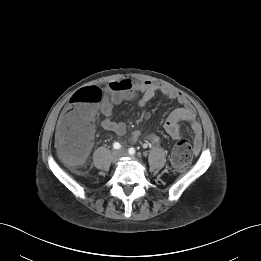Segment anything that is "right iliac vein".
I'll use <instances>...</instances> for the list:
<instances>
[{"instance_id": "obj_1", "label": "right iliac vein", "mask_w": 261, "mask_h": 261, "mask_svg": "<svg viewBox=\"0 0 261 261\" xmlns=\"http://www.w3.org/2000/svg\"><path fill=\"white\" fill-rule=\"evenodd\" d=\"M120 158V153L118 151H113L110 155V159L113 163H116Z\"/></svg>"}]
</instances>
